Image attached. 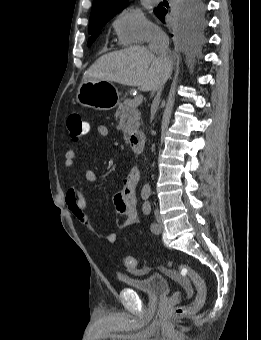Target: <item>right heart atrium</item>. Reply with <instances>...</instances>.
<instances>
[{"instance_id":"d8ad5b80","label":"right heart atrium","mask_w":261,"mask_h":340,"mask_svg":"<svg viewBox=\"0 0 261 340\" xmlns=\"http://www.w3.org/2000/svg\"><path fill=\"white\" fill-rule=\"evenodd\" d=\"M113 27L119 41L124 45L140 44L159 34V29L143 12L133 7L118 12L113 19Z\"/></svg>"}]
</instances>
